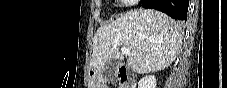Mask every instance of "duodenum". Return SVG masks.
Segmentation results:
<instances>
[{
	"label": "duodenum",
	"instance_id": "1",
	"mask_svg": "<svg viewBox=\"0 0 227 88\" xmlns=\"http://www.w3.org/2000/svg\"><path fill=\"white\" fill-rule=\"evenodd\" d=\"M117 69L122 88H136L135 79L127 66L124 63H119Z\"/></svg>",
	"mask_w": 227,
	"mask_h": 88
}]
</instances>
